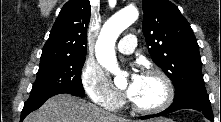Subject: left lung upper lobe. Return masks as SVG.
Returning a JSON list of instances; mask_svg holds the SVG:
<instances>
[{"label":"left lung upper lobe","mask_w":221,"mask_h":122,"mask_svg":"<svg viewBox=\"0 0 221 122\" xmlns=\"http://www.w3.org/2000/svg\"><path fill=\"white\" fill-rule=\"evenodd\" d=\"M143 34L152 60L172 80L175 98L206 92L199 46L190 24L168 0H142Z\"/></svg>","instance_id":"left-lung-upper-lobe-1"}]
</instances>
